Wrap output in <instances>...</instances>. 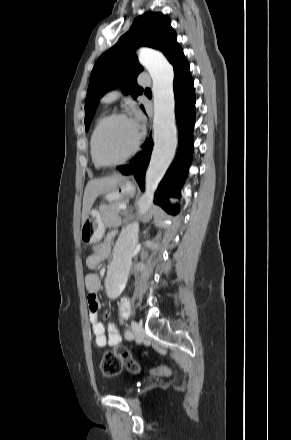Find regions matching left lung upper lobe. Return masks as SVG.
Masks as SVG:
<instances>
[{
  "instance_id": "5c2ea615",
  "label": "left lung upper lobe",
  "mask_w": 291,
  "mask_h": 440,
  "mask_svg": "<svg viewBox=\"0 0 291 440\" xmlns=\"http://www.w3.org/2000/svg\"><path fill=\"white\" fill-rule=\"evenodd\" d=\"M148 46L162 51L171 64L182 54L170 19L160 12H146L136 18L130 29L96 62L89 80L85 102V128L89 129L99 98L114 86H122L135 98L143 93L136 77L143 70L135 50Z\"/></svg>"
}]
</instances>
